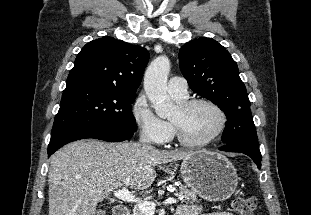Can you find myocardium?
Wrapping results in <instances>:
<instances>
[{
    "label": "myocardium",
    "mask_w": 311,
    "mask_h": 215,
    "mask_svg": "<svg viewBox=\"0 0 311 215\" xmlns=\"http://www.w3.org/2000/svg\"><path fill=\"white\" fill-rule=\"evenodd\" d=\"M199 104L208 105V106L212 107L218 113L219 118H220L219 125H218L217 129L215 130V132L211 136H209L207 139H205L203 141H199V142H193V141L188 140L184 136L179 125L171 120V123H172V126L174 128L178 142L187 148H202V147L208 146L209 144H211L213 141H215L223 133V131L226 127V124H227V116H226L224 110L217 103H215L214 101H212L210 99H207V98L186 99L183 102L179 103L177 105V107L182 112H186L189 109H191L193 106L199 105Z\"/></svg>",
    "instance_id": "1"
}]
</instances>
